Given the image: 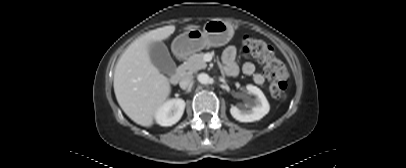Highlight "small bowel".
Masks as SVG:
<instances>
[{"mask_svg":"<svg viewBox=\"0 0 406 168\" xmlns=\"http://www.w3.org/2000/svg\"><path fill=\"white\" fill-rule=\"evenodd\" d=\"M236 48L234 46H228L222 53V60L226 64L225 72L229 76H236L238 74V66L235 62ZM242 71L248 76H252L255 84L261 85L264 83V76L261 73L256 72L255 66L251 62H244L242 65Z\"/></svg>","mask_w":406,"mask_h":168,"instance_id":"obj_1","label":"small bowel"}]
</instances>
